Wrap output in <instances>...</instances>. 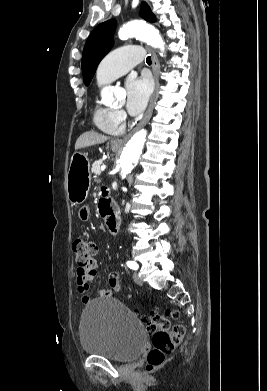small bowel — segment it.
<instances>
[{
    "mask_svg": "<svg viewBox=\"0 0 267 391\" xmlns=\"http://www.w3.org/2000/svg\"><path fill=\"white\" fill-rule=\"evenodd\" d=\"M89 217V211L86 207H81L78 210V218L81 220H87ZM96 262L92 264V267L85 271H76V284H77V291L80 294V299L83 303H89L90 302V297L87 295V290L89 287L90 282L92 279L96 276ZM113 294V291L111 288L108 289H103L101 290L97 298L103 299V298H108L111 297Z\"/></svg>",
    "mask_w": 267,
    "mask_h": 391,
    "instance_id": "c3829d8e",
    "label": "small bowel"
}]
</instances>
